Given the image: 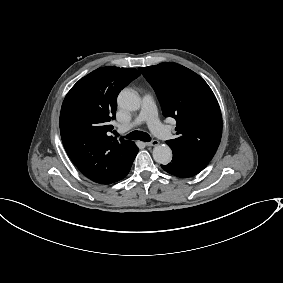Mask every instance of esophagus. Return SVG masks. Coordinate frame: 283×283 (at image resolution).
I'll use <instances>...</instances> for the list:
<instances>
[{
    "label": "esophagus",
    "mask_w": 283,
    "mask_h": 283,
    "mask_svg": "<svg viewBox=\"0 0 283 283\" xmlns=\"http://www.w3.org/2000/svg\"><path fill=\"white\" fill-rule=\"evenodd\" d=\"M157 145H159L158 140H152V141L146 143V146H157Z\"/></svg>",
    "instance_id": "esophagus-1"
}]
</instances>
